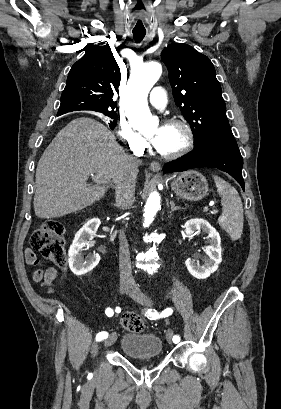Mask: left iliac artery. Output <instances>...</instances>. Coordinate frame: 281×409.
Segmentation results:
<instances>
[{
  "instance_id": "44dca946",
  "label": "left iliac artery",
  "mask_w": 281,
  "mask_h": 409,
  "mask_svg": "<svg viewBox=\"0 0 281 409\" xmlns=\"http://www.w3.org/2000/svg\"><path fill=\"white\" fill-rule=\"evenodd\" d=\"M172 309L171 308H167L165 309L161 314H158L157 311H152V310H148L147 315L151 318V319H157L160 317H167L169 315L172 314ZM180 341V337L178 335L173 336V342L174 343H178Z\"/></svg>"
}]
</instances>
